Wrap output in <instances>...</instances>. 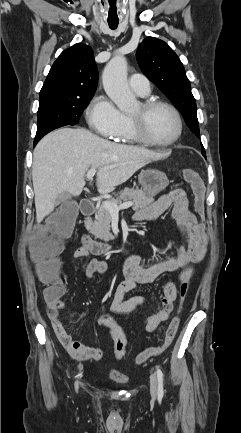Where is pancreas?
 Masks as SVG:
<instances>
[{
  "mask_svg": "<svg viewBox=\"0 0 241 433\" xmlns=\"http://www.w3.org/2000/svg\"><path fill=\"white\" fill-rule=\"evenodd\" d=\"M127 201L133 203V210L136 211L153 203L154 198L153 196L147 195L143 190L125 189L109 202L119 204ZM110 224L111 214L101 205L96 208L95 220L90 222L88 230L95 238L108 242L114 239V236L110 232Z\"/></svg>",
  "mask_w": 241,
  "mask_h": 433,
  "instance_id": "1",
  "label": "pancreas"
}]
</instances>
